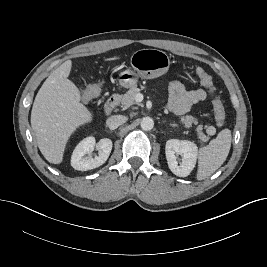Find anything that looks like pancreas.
<instances>
[{"label":"pancreas","mask_w":267,"mask_h":267,"mask_svg":"<svg viewBox=\"0 0 267 267\" xmlns=\"http://www.w3.org/2000/svg\"><path fill=\"white\" fill-rule=\"evenodd\" d=\"M139 92L140 89L136 85H134L127 91V93H125L124 95H120L119 102L121 107L125 110L133 104H138L135 101V97ZM180 123H182L186 128H190L192 124L194 125L198 124V119L193 116H182L180 118ZM207 127L208 126H205V128ZM195 130L197 132L198 139L201 143L207 142L209 140V137L205 135L202 131L203 130L202 124L197 125Z\"/></svg>","instance_id":"1"}]
</instances>
